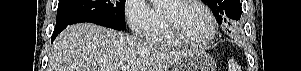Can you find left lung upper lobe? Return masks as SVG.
<instances>
[{
    "instance_id": "obj_1",
    "label": "left lung upper lobe",
    "mask_w": 301,
    "mask_h": 71,
    "mask_svg": "<svg viewBox=\"0 0 301 71\" xmlns=\"http://www.w3.org/2000/svg\"><path fill=\"white\" fill-rule=\"evenodd\" d=\"M205 2L212 8L219 24L222 23L223 19L225 20V17L234 20H239L241 17L240 0H205Z\"/></svg>"
}]
</instances>
